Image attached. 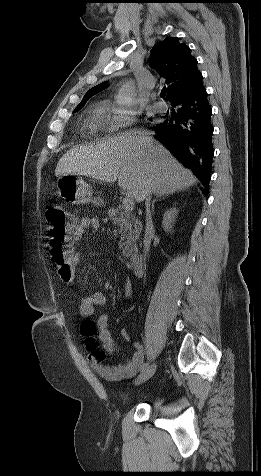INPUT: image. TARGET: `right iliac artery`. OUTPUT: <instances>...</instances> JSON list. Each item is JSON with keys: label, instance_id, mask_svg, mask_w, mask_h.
I'll list each match as a JSON object with an SVG mask.
<instances>
[{"label": "right iliac artery", "instance_id": "82829eb1", "mask_svg": "<svg viewBox=\"0 0 261 476\" xmlns=\"http://www.w3.org/2000/svg\"><path fill=\"white\" fill-rule=\"evenodd\" d=\"M147 367H148V363H144V364L141 366L140 370L143 371V370L146 369Z\"/></svg>", "mask_w": 261, "mask_h": 476}]
</instances>
